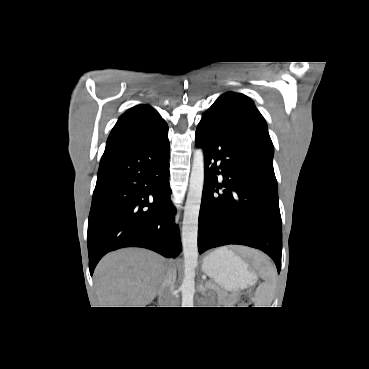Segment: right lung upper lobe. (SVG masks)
<instances>
[{
    "mask_svg": "<svg viewBox=\"0 0 369 369\" xmlns=\"http://www.w3.org/2000/svg\"><path fill=\"white\" fill-rule=\"evenodd\" d=\"M167 129L166 122L152 107L135 106L120 116L108 137L104 154L157 137Z\"/></svg>",
    "mask_w": 369,
    "mask_h": 369,
    "instance_id": "cb5924a9",
    "label": "right lung upper lobe"
}]
</instances>
